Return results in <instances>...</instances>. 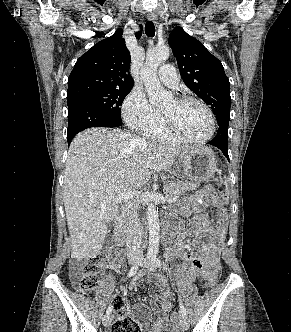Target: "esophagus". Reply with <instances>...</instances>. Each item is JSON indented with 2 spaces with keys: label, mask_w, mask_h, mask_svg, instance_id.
<instances>
[{
  "label": "esophagus",
  "mask_w": 291,
  "mask_h": 332,
  "mask_svg": "<svg viewBox=\"0 0 291 332\" xmlns=\"http://www.w3.org/2000/svg\"><path fill=\"white\" fill-rule=\"evenodd\" d=\"M148 19H149L150 21L154 22L155 24L158 23V18H157V15H156L155 12H150V13L148 14Z\"/></svg>",
  "instance_id": "obj_1"
}]
</instances>
